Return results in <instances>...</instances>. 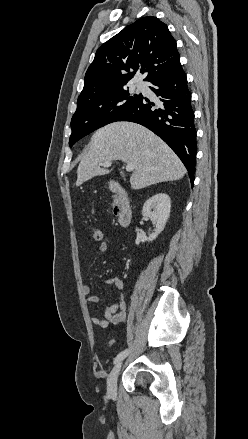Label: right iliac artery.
<instances>
[{
    "label": "right iliac artery",
    "instance_id": "right-iliac-artery-1",
    "mask_svg": "<svg viewBox=\"0 0 248 439\" xmlns=\"http://www.w3.org/2000/svg\"><path fill=\"white\" fill-rule=\"evenodd\" d=\"M130 350L129 349H125L123 351H121L115 358L113 363L116 364L117 362H119L120 360L124 359L128 354H129Z\"/></svg>",
    "mask_w": 248,
    "mask_h": 439
}]
</instances>
